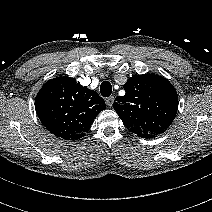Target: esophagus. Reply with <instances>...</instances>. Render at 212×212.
<instances>
[{"mask_svg": "<svg viewBox=\"0 0 212 212\" xmlns=\"http://www.w3.org/2000/svg\"><path fill=\"white\" fill-rule=\"evenodd\" d=\"M113 103H114V96H110L106 99V104L109 106V107H112L113 106Z\"/></svg>", "mask_w": 212, "mask_h": 212, "instance_id": "obj_1", "label": "esophagus"}]
</instances>
